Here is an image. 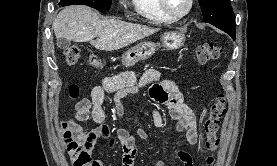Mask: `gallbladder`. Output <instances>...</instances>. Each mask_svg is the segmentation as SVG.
I'll return each mask as SVG.
<instances>
[{"label": "gallbladder", "instance_id": "obj_1", "mask_svg": "<svg viewBox=\"0 0 277 166\" xmlns=\"http://www.w3.org/2000/svg\"><path fill=\"white\" fill-rule=\"evenodd\" d=\"M70 44H71L70 41L65 38L57 39V45H58V47H60L62 49L69 47Z\"/></svg>", "mask_w": 277, "mask_h": 166}]
</instances>
